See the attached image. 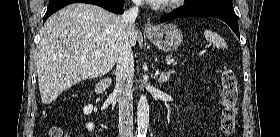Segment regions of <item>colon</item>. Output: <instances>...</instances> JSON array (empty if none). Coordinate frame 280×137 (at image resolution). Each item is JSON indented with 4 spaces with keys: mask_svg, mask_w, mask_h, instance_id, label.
<instances>
[{
    "mask_svg": "<svg viewBox=\"0 0 280 137\" xmlns=\"http://www.w3.org/2000/svg\"><path fill=\"white\" fill-rule=\"evenodd\" d=\"M221 87V130L226 137H231L236 127L238 89L237 77L226 65L221 69ZM50 135L63 136L61 129L57 126L50 129Z\"/></svg>",
    "mask_w": 280,
    "mask_h": 137,
    "instance_id": "colon-1",
    "label": "colon"
}]
</instances>
